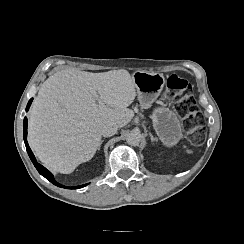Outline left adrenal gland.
<instances>
[{"mask_svg":"<svg viewBox=\"0 0 244 244\" xmlns=\"http://www.w3.org/2000/svg\"><path fill=\"white\" fill-rule=\"evenodd\" d=\"M149 136L151 137V141H158L157 137H154L151 133H149Z\"/></svg>","mask_w":244,"mask_h":244,"instance_id":"1","label":"left adrenal gland"}]
</instances>
